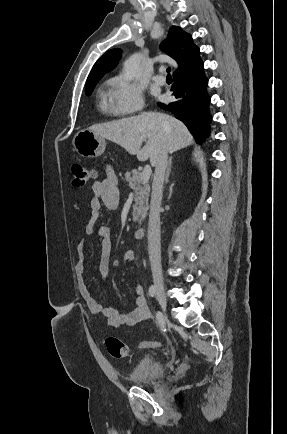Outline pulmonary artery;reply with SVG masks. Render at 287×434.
<instances>
[{
    "mask_svg": "<svg viewBox=\"0 0 287 434\" xmlns=\"http://www.w3.org/2000/svg\"><path fill=\"white\" fill-rule=\"evenodd\" d=\"M163 70H160V72L153 76V80L159 84H164L166 79L164 75L162 74Z\"/></svg>",
    "mask_w": 287,
    "mask_h": 434,
    "instance_id": "obj_1",
    "label": "pulmonary artery"
}]
</instances>
